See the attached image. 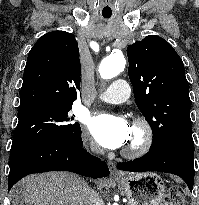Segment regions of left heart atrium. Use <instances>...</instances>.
I'll return each instance as SVG.
<instances>
[{"instance_id": "39dd6f15", "label": "left heart atrium", "mask_w": 199, "mask_h": 205, "mask_svg": "<svg viewBox=\"0 0 199 205\" xmlns=\"http://www.w3.org/2000/svg\"><path fill=\"white\" fill-rule=\"evenodd\" d=\"M89 132L101 146L116 149L129 140L131 126L123 117L104 114L90 120Z\"/></svg>"}]
</instances>
